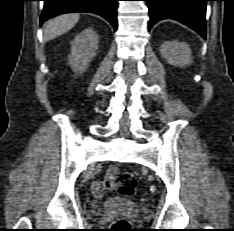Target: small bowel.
I'll return each instance as SVG.
<instances>
[{"instance_id": "small-bowel-1", "label": "small bowel", "mask_w": 234, "mask_h": 231, "mask_svg": "<svg viewBox=\"0 0 234 231\" xmlns=\"http://www.w3.org/2000/svg\"><path fill=\"white\" fill-rule=\"evenodd\" d=\"M116 168L108 169L106 176L103 180H96L91 185V191L95 198L103 197L107 192L115 188V172Z\"/></svg>"}]
</instances>
